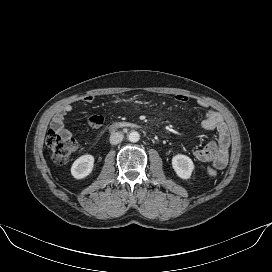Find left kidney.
Wrapping results in <instances>:
<instances>
[{
    "label": "left kidney",
    "mask_w": 272,
    "mask_h": 272,
    "mask_svg": "<svg viewBox=\"0 0 272 272\" xmlns=\"http://www.w3.org/2000/svg\"><path fill=\"white\" fill-rule=\"evenodd\" d=\"M172 167L178 177L189 179L194 170V163L188 156L177 154L172 158Z\"/></svg>",
    "instance_id": "1"
}]
</instances>
